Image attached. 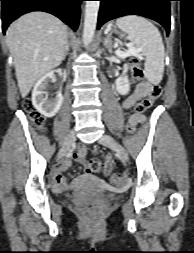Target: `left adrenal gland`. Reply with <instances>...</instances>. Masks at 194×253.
<instances>
[{
    "label": "left adrenal gland",
    "mask_w": 194,
    "mask_h": 253,
    "mask_svg": "<svg viewBox=\"0 0 194 253\" xmlns=\"http://www.w3.org/2000/svg\"><path fill=\"white\" fill-rule=\"evenodd\" d=\"M103 46L108 49V51L112 52V40H111V34H108L106 38L103 41Z\"/></svg>",
    "instance_id": "obj_1"
}]
</instances>
